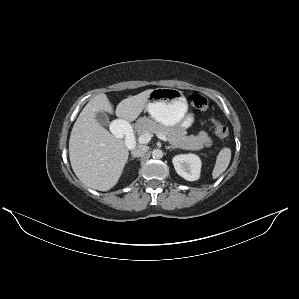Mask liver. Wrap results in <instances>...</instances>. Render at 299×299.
<instances>
[{"mask_svg":"<svg viewBox=\"0 0 299 299\" xmlns=\"http://www.w3.org/2000/svg\"><path fill=\"white\" fill-rule=\"evenodd\" d=\"M152 89L123 99L116 107L117 117L134 121L146 107ZM113 114L106 94L92 98L79 114L71 131L69 157L72 169L86 186L108 191L122 175L129 156L125 142L114 137L96 121V113Z\"/></svg>","mask_w":299,"mask_h":299,"instance_id":"6515ba94","label":"liver"}]
</instances>
